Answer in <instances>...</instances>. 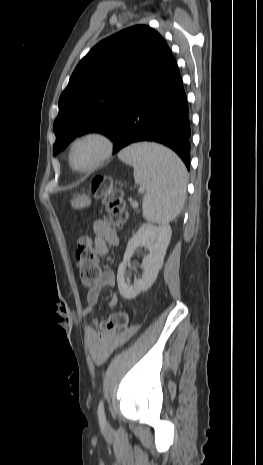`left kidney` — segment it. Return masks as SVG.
<instances>
[{
	"instance_id": "left-kidney-1",
	"label": "left kidney",
	"mask_w": 263,
	"mask_h": 465,
	"mask_svg": "<svg viewBox=\"0 0 263 465\" xmlns=\"http://www.w3.org/2000/svg\"><path fill=\"white\" fill-rule=\"evenodd\" d=\"M171 228L168 225L155 226L143 224L137 233L129 240L124 253L123 262L118 267L117 283L120 295L125 299H133L142 291H147L155 282L159 270L162 268L167 247L171 239ZM139 246H145L149 254L143 259V274L140 279L130 284L125 279V269L134 251Z\"/></svg>"
}]
</instances>
